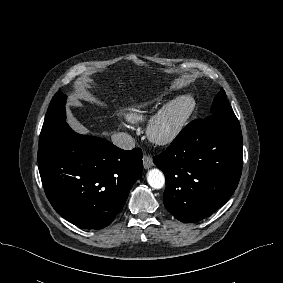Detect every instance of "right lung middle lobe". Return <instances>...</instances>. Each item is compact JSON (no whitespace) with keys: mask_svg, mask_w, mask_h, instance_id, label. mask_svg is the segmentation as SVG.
<instances>
[{"mask_svg":"<svg viewBox=\"0 0 283 283\" xmlns=\"http://www.w3.org/2000/svg\"><path fill=\"white\" fill-rule=\"evenodd\" d=\"M65 103L66 96L60 92L52 98L40 134V148L47 146L56 132L66 125Z\"/></svg>","mask_w":283,"mask_h":283,"instance_id":"dd1d6c3e","label":"right lung middle lobe"}]
</instances>
